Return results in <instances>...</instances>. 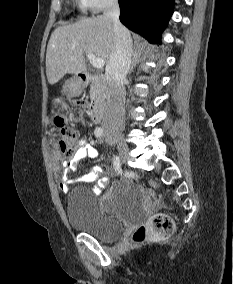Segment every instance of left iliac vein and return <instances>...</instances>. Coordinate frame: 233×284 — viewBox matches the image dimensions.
Returning <instances> with one entry per match:
<instances>
[{
    "mask_svg": "<svg viewBox=\"0 0 233 284\" xmlns=\"http://www.w3.org/2000/svg\"><path fill=\"white\" fill-rule=\"evenodd\" d=\"M107 140H108L111 144L114 143V142L112 141L111 137H108Z\"/></svg>",
    "mask_w": 233,
    "mask_h": 284,
    "instance_id": "obj_1",
    "label": "left iliac vein"
}]
</instances>
